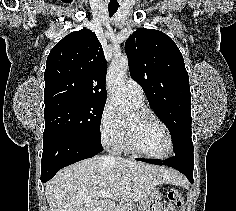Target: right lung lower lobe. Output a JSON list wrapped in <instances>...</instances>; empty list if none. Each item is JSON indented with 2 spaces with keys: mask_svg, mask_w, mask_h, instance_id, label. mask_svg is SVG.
Wrapping results in <instances>:
<instances>
[{
  "mask_svg": "<svg viewBox=\"0 0 236 211\" xmlns=\"http://www.w3.org/2000/svg\"><path fill=\"white\" fill-rule=\"evenodd\" d=\"M103 150L101 142L75 134L44 136L41 181L47 182L61 168L91 158Z\"/></svg>",
  "mask_w": 236,
  "mask_h": 211,
  "instance_id": "1",
  "label": "right lung lower lobe"
}]
</instances>
